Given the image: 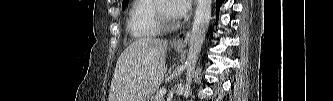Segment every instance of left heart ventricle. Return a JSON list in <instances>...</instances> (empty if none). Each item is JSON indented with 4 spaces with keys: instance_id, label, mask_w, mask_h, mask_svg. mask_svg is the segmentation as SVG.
Returning a JSON list of instances; mask_svg holds the SVG:
<instances>
[{
    "instance_id": "1",
    "label": "left heart ventricle",
    "mask_w": 333,
    "mask_h": 101,
    "mask_svg": "<svg viewBox=\"0 0 333 101\" xmlns=\"http://www.w3.org/2000/svg\"><path fill=\"white\" fill-rule=\"evenodd\" d=\"M164 10L167 15H169L170 17H174L169 11V6L167 2H164Z\"/></svg>"
}]
</instances>
